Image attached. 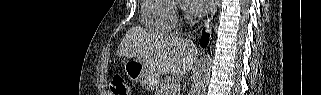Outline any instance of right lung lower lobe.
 I'll return each mask as SVG.
<instances>
[{"mask_svg": "<svg viewBox=\"0 0 321 95\" xmlns=\"http://www.w3.org/2000/svg\"><path fill=\"white\" fill-rule=\"evenodd\" d=\"M208 42H209V34L208 33H204V30H203V35L201 37V46L202 47H206Z\"/></svg>", "mask_w": 321, "mask_h": 95, "instance_id": "right-lung-lower-lobe-1", "label": "right lung lower lobe"}]
</instances>
